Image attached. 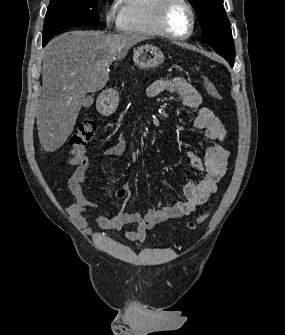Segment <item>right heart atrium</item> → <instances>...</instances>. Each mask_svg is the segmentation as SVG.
I'll return each mask as SVG.
<instances>
[{
    "label": "right heart atrium",
    "instance_id": "obj_1",
    "mask_svg": "<svg viewBox=\"0 0 285 335\" xmlns=\"http://www.w3.org/2000/svg\"><path fill=\"white\" fill-rule=\"evenodd\" d=\"M103 18L107 26L114 24L118 19L117 10L114 7L104 8Z\"/></svg>",
    "mask_w": 285,
    "mask_h": 335
}]
</instances>
